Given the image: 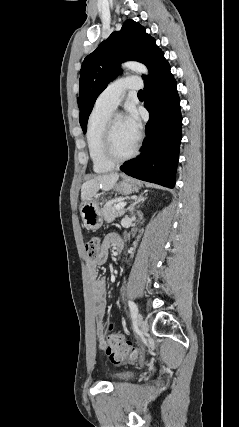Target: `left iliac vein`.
I'll list each match as a JSON object with an SVG mask.
<instances>
[{
    "mask_svg": "<svg viewBox=\"0 0 239 427\" xmlns=\"http://www.w3.org/2000/svg\"><path fill=\"white\" fill-rule=\"evenodd\" d=\"M136 320L142 334L145 335L149 329L148 323L143 319V316L141 314L137 315Z\"/></svg>",
    "mask_w": 239,
    "mask_h": 427,
    "instance_id": "4c4485c4",
    "label": "left iliac vein"
}]
</instances>
